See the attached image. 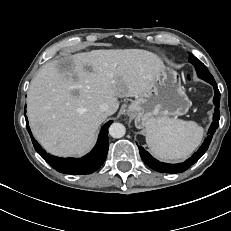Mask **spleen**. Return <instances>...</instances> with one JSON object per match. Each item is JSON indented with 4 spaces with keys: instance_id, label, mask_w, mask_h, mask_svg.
Here are the masks:
<instances>
[{
    "instance_id": "3e777b00",
    "label": "spleen",
    "mask_w": 231,
    "mask_h": 231,
    "mask_svg": "<svg viewBox=\"0 0 231 231\" xmlns=\"http://www.w3.org/2000/svg\"><path fill=\"white\" fill-rule=\"evenodd\" d=\"M203 128L194 121L173 118L151 122L146 127V142L151 152L163 160L184 159L201 143Z\"/></svg>"
}]
</instances>
